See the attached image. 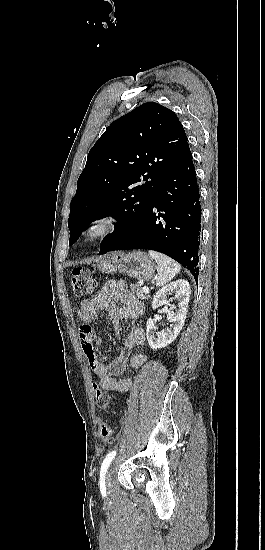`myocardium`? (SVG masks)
Segmentation results:
<instances>
[{"label": "myocardium", "instance_id": "f54148a6", "mask_svg": "<svg viewBox=\"0 0 265 550\" xmlns=\"http://www.w3.org/2000/svg\"><path fill=\"white\" fill-rule=\"evenodd\" d=\"M119 227V220L112 215H104L89 221L81 232L82 241L94 244L105 240Z\"/></svg>", "mask_w": 265, "mask_h": 550}]
</instances>
